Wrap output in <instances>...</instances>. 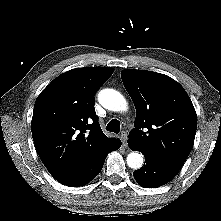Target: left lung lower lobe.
Wrapping results in <instances>:
<instances>
[{"label": "left lung lower lobe", "instance_id": "left-lung-lower-lobe-1", "mask_svg": "<svg viewBox=\"0 0 221 221\" xmlns=\"http://www.w3.org/2000/svg\"><path fill=\"white\" fill-rule=\"evenodd\" d=\"M132 150L140 151L128 143ZM141 152V151H140ZM145 163L139 170L134 171V178L144 188H156L171 181L180 169L157 160L154 156L144 153Z\"/></svg>", "mask_w": 221, "mask_h": 221}]
</instances>
